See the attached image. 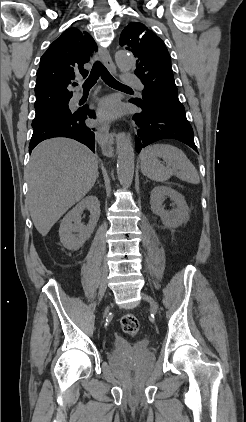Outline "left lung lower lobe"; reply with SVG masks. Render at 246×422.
Returning a JSON list of instances; mask_svg holds the SVG:
<instances>
[{"mask_svg": "<svg viewBox=\"0 0 246 422\" xmlns=\"http://www.w3.org/2000/svg\"><path fill=\"white\" fill-rule=\"evenodd\" d=\"M130 102L141 108L133 117L138 126V135L135 138L137 152L151 143L167 138L179 140L197 151L193 129L186 118L185 110L173 109L155 100H149L145 104L133 100Z\"/></svg>", "mask_w": 246, "mask_h": 422, "instance_id": "obj_1", "label": "left lung lower lobe"}]
</instances>
